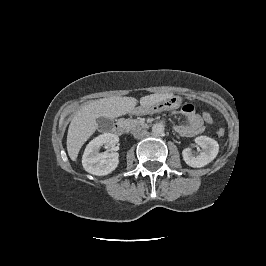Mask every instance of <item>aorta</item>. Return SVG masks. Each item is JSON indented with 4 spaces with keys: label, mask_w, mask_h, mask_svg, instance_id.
<instances>
[{
    "label": "aorta",
    "mask_w": 266,
    "mask_h": 266,
    "mask_svg": "<svg viewBox=\"0 0 266 266\" xmlns=\"http://www.w3.org/2000/svg\"><path fill=\"white\" fill-rule=\"evenodd\" d=\"M164 125L162 123H156L152 126V133L154 135L160 136L164 133Z\"/></svg>",
    "instance_id": "obj_1"
}]
</instances>
